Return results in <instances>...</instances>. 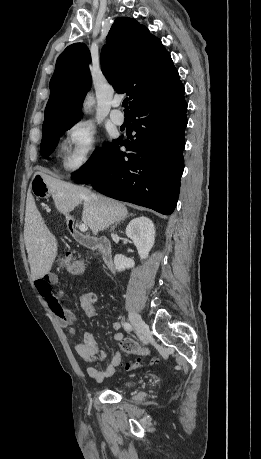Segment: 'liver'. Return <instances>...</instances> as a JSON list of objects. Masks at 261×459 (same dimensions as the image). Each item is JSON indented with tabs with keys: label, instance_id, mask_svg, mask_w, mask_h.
<instances>
[{
	"label": "liver",
	"instance_id": "6515ba94",
	"mask_svg": "<svg viewBox=\"0 0 261 459\" xmlns=\"http://www.w3.org/2000/svg\"><path fill=\"white\" fill-rule=\"evenodd\" d=\"M35 174L42 176L60 213L67 214L83 202L82 220L95 236L128 215L126 206L114 199L57 179L43 169ZM24 237L31 276L36 280L49 273L57 256L58 243L45 226L32 198L27 208Z\"/></svg>",
	"mask_w": 261,
	"mask_h": 459
}]
</instances>
